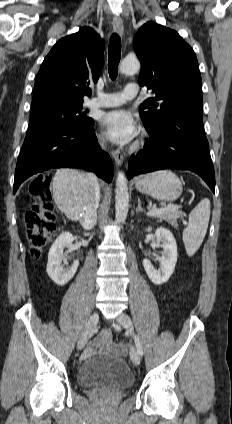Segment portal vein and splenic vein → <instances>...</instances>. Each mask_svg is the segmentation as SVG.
Masks as SVG:
<instances>
[{
	"instance_id": "portal-vein-and-splenic-vein-1",
	"label": "portal vein and splenic vein",
	"mask_w": 232,
	"mask_h": 424,
	"mask_svg": "<svg viewBox=\"0 0 232 424\" xmlns=\"http://www.w3.org/2000/svg\"><path fill=\"white\" fill-rule=\"evenodd\" d=\"M178 209H179L178 206L168 205V206L162 207L160 209L155 208V209L149 210L147 215L148 216H156V215H159V214H162V213H165V212H177Z\"/></svg>"
}]
</instances>
